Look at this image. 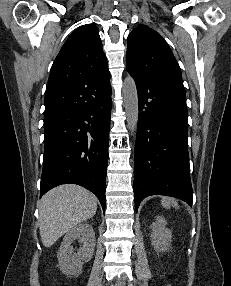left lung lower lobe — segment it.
Masks as SVG:
<instances>
[{
  "label": "left lung lower lobe",
  "mask_w": 231,
  "mask_h": 286,
  "mask_svg": "<svg viewBox=\"0 0 231 286\" xmlns=\"http://www.w3.org/2000/svg\"><path fill=\"white\" fill-rule=\"evenodd\" d=\"M127 71L135 80L139 104L134 159L136 210L150 195L172 196L191 205L185 89Z\"/></svg>",
  "instance_id": "1"
}]
</instances>
